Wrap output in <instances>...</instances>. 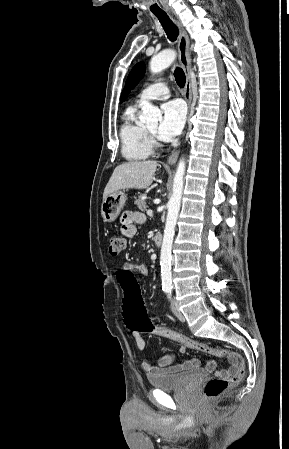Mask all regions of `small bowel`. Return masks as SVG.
Wrapping results in <instances>:
<instances>
[{
    "mask_svg": "<svg viewBox=\"0 0 289 449\" xmlns=\"http://www.w3.org/2000/svg\"><path fill=\"white\" fill-rule=\"evenodd\" d=\"M145 220L142 213L137 211H126L122 214L121 217V232L127 239H133L137 233V224L143 223ZM122 268H131V270L139 271L142 274H147L148 270L144 265H135L132 263H126ZM132 335L135 338L137 348L140 351H143L146 347L145 340L142 335L138 332L132 331ZM180 344V351L185 352L187 348H189L185 343L178 342ZM235 358L232 360H228L230 366L226 369H221L216 371V374L219 376H231L236 373L239 365L238 356L234 353H231ZM175 355L173 353H166L162 355L156 364H152L150 360H144L142 362V368L149 375L152 374H161V373H175L184 370H191L198 368L200 366V361L196 358H191L185 360L182 363L174 364ZM216 367L214 361H207L205 364V369L208 371H213Z\"/></svg>",
    "mask_w": 289,
    "mask_h": 449,
    "instance_id": "c3829d8e",
    "label": "small bowel"
}]
</instances>
